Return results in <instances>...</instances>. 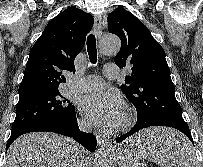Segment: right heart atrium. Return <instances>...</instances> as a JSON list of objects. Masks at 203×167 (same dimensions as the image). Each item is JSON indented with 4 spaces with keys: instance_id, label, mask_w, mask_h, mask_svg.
<instances>
[{
    "instance_id": "1",
    "label": "right heart atrium",
    "mask_w": 203,
    "mask_h": 167,
    "mask_svg": "<svg viewBox=\"0 0 203 167\" xmlns=\"http://www.w3.org/2000/svg\"><path fill=\"white\" fill-rule=\"evenodd\" d=\"M79 125L82 128H87L88 127V123L85 120H83V119L79 121Z\"/></svg>"
}]
</instances>
